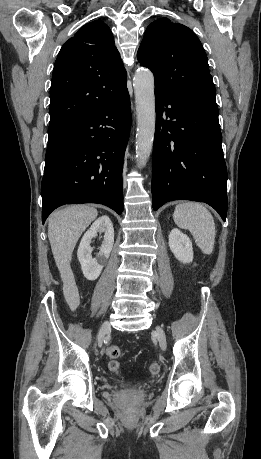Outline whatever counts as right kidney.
I'll return each mask as SVG.
<instances>
[{"label": "right kidney", "mask_w": 261, "mask_h": 459, "mask_svg": "<svg viewBox=\"0 0 261 459\" xmlns=\"http://www.w3.org/2000/svg\"><path fill=\"white\" fill-rule=\"evenodd\" d=\"M97 232H104L105 235L99 253L96 258H92L90 243ZM113 243L114 228L112 222L107 215H103L98 218L84 234L77 251L81 269L88 280L93 281L99 277L104 265L107 263Z\"/></svg>", "instance_id": "1"}]
</instances>
